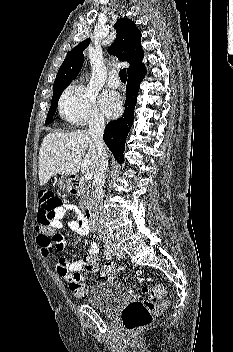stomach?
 <instances>
[{"label": "stomach", "mask_w": 233, "mask_h": 352, "mask_svg": "<svg viewBox=\"0 0 233 352\" xmlns=\"http://www.w3.org/2000/svg\"><path fill=\"white\" fill-rule=\"evenodd\" d=\"M59 187L60 189L69 192L71 189V181L70 178L68 176H62L59 179Z\"/></svg>", "instance_id": "1"}]
</instances>
